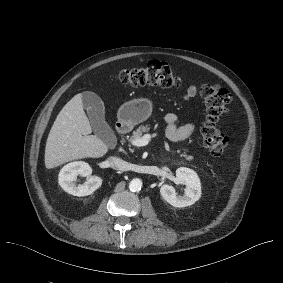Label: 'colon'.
Returning <instances> with one entry per match:
<instances>
[{"label": "colon", "mask_w": 283, "mask_h": 283, "mask_svg": "<svg viewBox=\"0 0 283 283\" xmlns=\"http://www.w3.org/2000/svg\"><path fill=\"white\" fill-rule=\"evenodd\" d=\"M116 79L131 86L169 88L180 85V78L175 70L157 60L149 61L142 67L122 70L116 75ZM200 93L206 105L205 121L201 127L203 145L213 156L222 157L228 145V138L219 129L218 123L228 111L231 94L216 83L202 85Z\"/></svg>", "instance_id": "obj_1"}]
</instances>
